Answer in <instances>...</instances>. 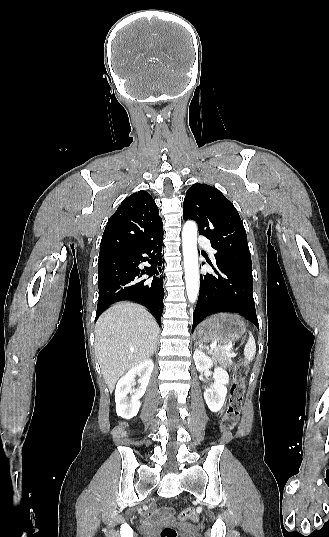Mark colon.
Masks as SVG:
<instances>
[{"label": "colon", "mask_w": 329, "mask_h": 537, "mask_svg": "<svg viewBox=\"0 0 329 537\" xmlns=\"http://www.w3.org/2000/svg\"><path fill=\"white\" fill-rule=\"evenodd\" d=\"M247 369V365L244 362L238 363L234 368L233 385L231 387L229 395V406L221 424V428L223 431L232 430L239 420ZM196 518L197 514L194 509H185L181 511L178 515V519L182 522L195 521ZM159 536L178 537V534L173 527L166 526L161 529Z\"/></svg>", "instance_id": "colon-1"}]
</instances>
